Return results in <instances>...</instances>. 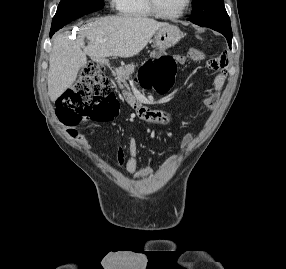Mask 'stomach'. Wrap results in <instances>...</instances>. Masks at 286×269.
Instances as JSON below:
<instances>
[{
	"instance_id": "0dacf381",
	"label": "stomach",
	"mask_w": 286,
	"mask_h": 269,
	"mask_svg": "<svg viewBox=\"0 0 286 269\" xmlns=\"http://www.w3.org/2000/svg\"><path fill=\"white\" fill-rule=\"evenodd\" d=\"M181 39V31L175 25H166L159 29L154 36V46L157 49H169Z\"/></svg>"
}]
</instances>
